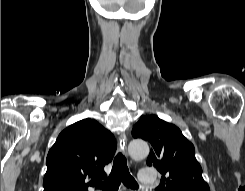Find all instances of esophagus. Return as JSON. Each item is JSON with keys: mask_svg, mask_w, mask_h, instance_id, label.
I'll use <instances>...</instances> for the list:
<instances>
[{"mask_svg": "<svg viewBox=\"0 0 245 191\" xmlns=\"http://www.w3.org/2000/svg\"><path fill=\"white\" fill-rule=\"evenodd\" d=\"M119 149L123 154H127V136L125 133H121V135L119 136Z\"/></svg>", "mask_w": 245, "mask_h": 191, "instance_id": "esophagus-1", "label": "esophagus"}]
</instances>
